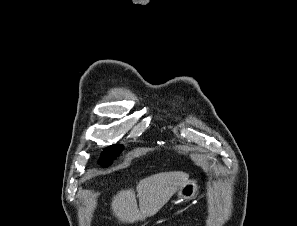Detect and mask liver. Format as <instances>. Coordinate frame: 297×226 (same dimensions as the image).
Wrapping results in <instances>:
<instances>
[{
    "mask_svg": "<svg viewBox=\"0 0 297 226\" xmlns=\"http://www.w3.org/2000/svg\"><path fill=\"white\" fill-rule=\"evenodd\" d=\"M189 179L180 171L151 175L137 185L139 208L133 189L120 191L114 196L111 209L121 223L143 221L155 215Z\"/></svg>",
    "mask_w": 297,
    "mask_h": 226,
    "instance_id": "obj_1",
    "label": "liver"
}]
</instances>
